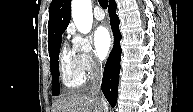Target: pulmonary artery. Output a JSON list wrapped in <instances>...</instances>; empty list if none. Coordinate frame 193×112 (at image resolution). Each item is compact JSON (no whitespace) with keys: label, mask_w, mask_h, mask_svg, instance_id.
Listing matches in <instances>:
<instances>
[{"label":"pulmonary artery","mask_w":193,"mask_h":112,"mask_svg":"<svg viewBox=\"0 0 193 112\" xmlns=\"http://www.w3.org/2000/svg\"><path fill=\"white\" fill-rule=\"evenodd\" d=\"M93 14L96 20H103L105 17V13L100 7H95Z\"/></svg>","instance_id":"pulmonary-artery-1"}]
</instances>
